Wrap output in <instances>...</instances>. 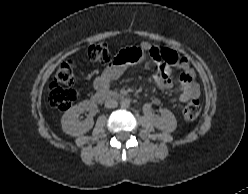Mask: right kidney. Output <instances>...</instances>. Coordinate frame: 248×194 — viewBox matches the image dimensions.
I'll return each instance as SVG.
<instances>
[{"instance_id":"1","label":"right kidney","mask_w":248,"mask_h":194,"mask_svg":"<svg viewBox=\"0 0 248 194\" xmlns=\"http://www.w3.org/2000/svg\"><path fill=\"white\" fill-rule=\"evenodd\" d=\"M98 106L91 101H83L68 109L61 119L62 130L71 136L85 134L94 125L93 117L98 113ZM83 112H88L87 118L83 121L79 116Z\"/></svg>"}]
</instances>
